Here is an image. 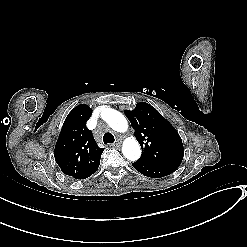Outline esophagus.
I'll return each instance as SVG.
<instances>
[{"mask_svg":"<svg viewBox=\"0 0 247 247\" xmlns=\"http://www.w3.org/2000/svg\"><path fill=\"white\" fill-rule=\"evenodd\" d=\"M112 147H119L120 146V143H116L114 145H111Z\"/></svg>","mask_w":247,"mask_h":247,"instance_id":"obj_1","label":"esophagus"}]
</instances>
